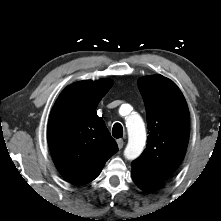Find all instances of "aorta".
I'll use <instances>...</instances> for the list:
<instances>
[{"mask_svg": "<svg viewBox=\"0 0 221 221\" xmlns=\"http://www.w3.org/2000/svg\"><path fill=\"white\" fill-rule=\"evenodd\" d=\"M128 131V144L124 150V156L128 160H134L142 153L146 143V131L142 118L138 114H132L126 119Z\"/></svg>", "mask_w": 221, "mask_h": 221, "instance_id": "aorta-1", "label": "aorta"}]
</instances>
